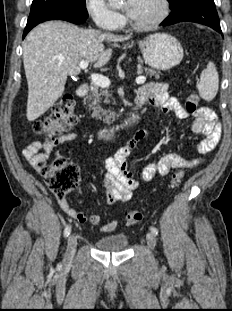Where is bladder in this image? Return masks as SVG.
<instances>
[{"label":"bladder","instance_id":"1","mask_svg":"<svg viewBox=\"0 0 232 311\" xmlns=\"http://www.w3.org/2000/svg\"><path fill=\"white\" fill-rule=\"evenodd\" d=\"M95 245L99 251L122 252L128 246V238L125 234L113 233L99 237Z\"/></svg>","mask_w":232,"mask_h":311}]
</instances>
